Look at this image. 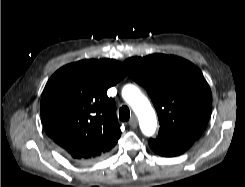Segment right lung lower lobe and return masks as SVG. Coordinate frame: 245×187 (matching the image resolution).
Instances as JSON below:
<instances>
[{"label": "right lung lower lobe", "mask_w": 245, "mask_h": 187, "mask_svg": "<svg viewBox=\"0 0 245 187\" xmlns=\"http://www.w3.org/2000/svg\"><path fill=\"white\" fill-rule=\"evenodd\" d=\"M61 150V149H60ZM61 152L66 156V157H68L62 150H61ZM69 158V157H68ZM71 159V158H70ZM72 160H74V161H76V162H78V163H89V162H87V161H85V160H78V159H72Z\"/></svg>", "instance_id": "right-lung-lower-lobe-1"}]
</instances>
